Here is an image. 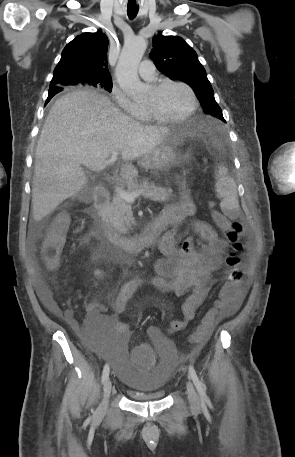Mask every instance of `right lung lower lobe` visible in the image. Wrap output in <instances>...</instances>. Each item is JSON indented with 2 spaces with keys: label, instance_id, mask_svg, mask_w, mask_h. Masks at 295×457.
<instances>
[{
  "label": "right lung lower lobe",
  "instance_id": "right-lung-lower-lobe-1",
  "mask_svg": "<svg viewBox=\"0 0 295 457\" xmlns=\"http://www.w3.org/2000/svg\"><path fill=\"white\" fill-rule=\"evenodd\" d=\"M62 91L61 88H50L49 89V94H48V98H47V101H46V104L50 101V99L55 95L57 94L58 92Z\"/></svg>",
  "mask_w": 295,
  "mask_h": 457
}]
</instances>
